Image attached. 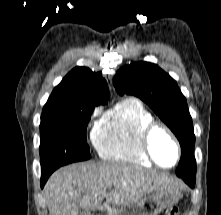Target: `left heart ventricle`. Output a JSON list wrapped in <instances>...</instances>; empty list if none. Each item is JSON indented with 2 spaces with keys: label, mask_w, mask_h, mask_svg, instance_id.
<instances>
[{
  "label": "left heart ventricle",
  "mask_w": 221,
  "mask_h": 215,
  "mask_svg": "<svg viewBox=\"0 0 221 215\" xmlns=\"http://www.w3.org/2000/svg\"><path fill=\"white\" fill-rule=\"evenodd\" d=\"M151 148L156 160L165 166L171 165L176 158V150L167 134L157 130L151 139Z\"/></svg>",
  "instance_id": "left-heart-ventricle-1"
}]
</instances>
